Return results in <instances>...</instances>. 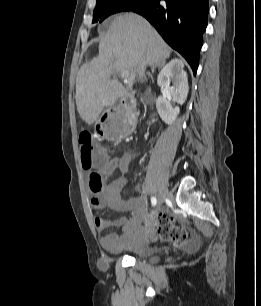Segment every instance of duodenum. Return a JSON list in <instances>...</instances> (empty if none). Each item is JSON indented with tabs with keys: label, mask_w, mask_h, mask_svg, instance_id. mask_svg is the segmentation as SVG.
<instances>
[{
	"label": "duodenum",
	"mask_w": 261,
	"mask_h": 306,
	"mask_svg": "<svg viewBox=\"0 0 261 306\" xmlns=\"http://www.w3.org/2000/svg\"><path fill=\"white\" fill-rule=\"evenodd\" d=\"M133 105H134V103H133L132 96H128V97L123 98L122 106H123L124 109L132 108Z\"/></svg>",
	"instance_id": "1"
}]
</instances>
